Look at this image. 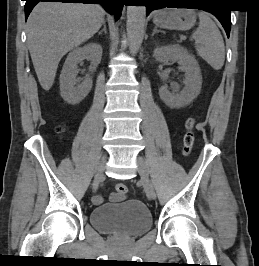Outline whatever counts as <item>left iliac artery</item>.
<instances>
[{
    "instance_id": "44dca946",
    "label": "left iliac artery",
    "mask_w": 259,
    "mask_h": 266,
    "mask_svg": "<svg viewBox=\"0 0 259 266\" xmlns=\"http://www.w3.org/2000/svg\"><path fill=\"white\" fill-rule=\"evenodd\" d=\"M147 189L151 190V194L153 198H157L158 194H156V190L154 188L153 182H148Z\"/></svg>"
}]
</instances>
